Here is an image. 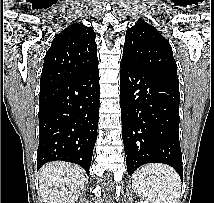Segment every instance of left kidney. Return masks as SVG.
<instances>
[{
  "instance_id": "left-kidney-1",
  "label": "left kidney",
  "mask_w": 214,
  "mask_h": 203,
  "mask_svg": "<svg viewBox=\"0 0 214 203\" xmlns=\"http://www.w3.org/2000/svg\"><path fill=\"white\" fill-rule=\"evenodd\" d=\"M138 203H147V202H145V201H140V202H138Z\"/></svg>"
}]
</instances>
